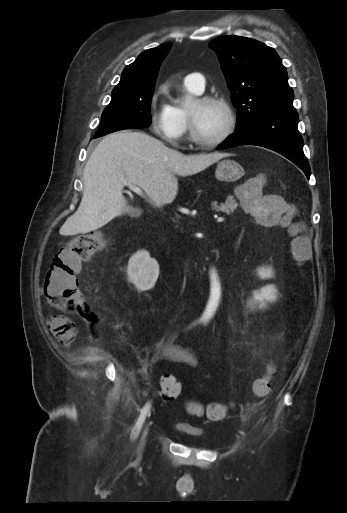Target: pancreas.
I'll use <instances>...</instances> for the list:
<instances>
[{
	"label": "pancreas",
	"mask_w": 347,
	"mask_h": 513,
	"mask_svg": "<svg viewBox=\"0 0 347 513\" xmlns=\"http://www.w3.org/2000/svg\"><path fill=\"white\" fill-rule=\"evenodd\" d=\"M238 207V203L234 199L233 196H228L224 203H220L219 205L216 202L212 203V208L216 212H223L227 215H232L236 208Z\"/></svg>",
	"instance_id": "obj_1"
}]
</instances>
